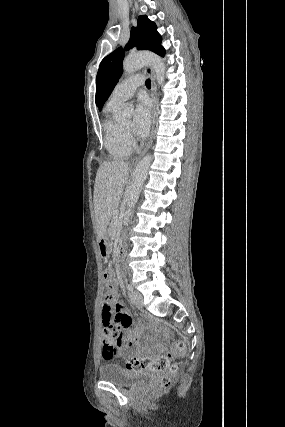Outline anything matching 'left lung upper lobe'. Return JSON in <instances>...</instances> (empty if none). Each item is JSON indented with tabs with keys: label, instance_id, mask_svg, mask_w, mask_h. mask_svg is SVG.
I'll use <instances>...</instances> for the list:
<instances>
[{
	"label": "left lung upper lobe",
	"instance_id": "left-lung-upper-lobe-1",
	"mask_svg": "<svg viewBox=\"0 0 285 427\" xmlns=\"http://www.w3.org/2000/svg\"><path fill=\"white\" fill-rule=\"evenodd\" d=\"M162 38L157 32L156 24L150 21L146 15L139 16L137 27L131 29L130 39L125 50L137 46L139 50H150L164 56L165 49L161 45ZM124 49L117 48L107 55L100 63L96 77V105L99 110L110 96L123 72Z\"/></svg>",
	"mask_w": 285,
	"mask_h": 427
}]
</instances>
